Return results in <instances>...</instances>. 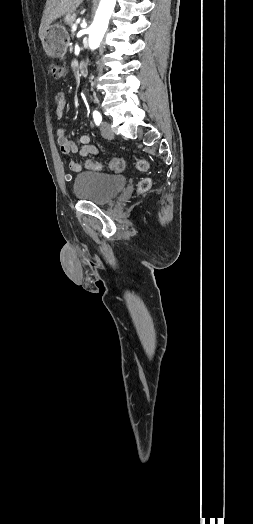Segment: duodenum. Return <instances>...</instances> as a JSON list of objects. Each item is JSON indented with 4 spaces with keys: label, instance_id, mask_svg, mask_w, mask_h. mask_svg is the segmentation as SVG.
Instances as JSON below:
<instances>
[{
    "label": "duodenum",
    "instance_id": "410a0bca",
    "mask_svg": "<svg viewBox=\"0 0 253 524\" xmlns=\"http://www.w3.org/2000/svg\"><path fill=\"white\" fill-rule=\"evenodd\" d=\"M87 70H88V67H87V64H86V63H84V62H80V63L78 64V72H79L81 75H86Z\"/></svg>",
    "mask_w": 253,
    "mask_h": 524
}]
</instances>
